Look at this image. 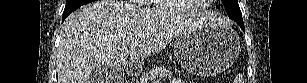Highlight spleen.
<instances>
[{
	"instance_id": "spleen-1",
	"label": "spleen",
	"mask_w": 307,
	"mask_h": 83,
	"mask_svg": "<svg viewBox=\"0 0 307 83\" xmlns=\"http://www.w3.org/2000/svg\"><path fill=\"white\" fill-rule=\"evenodd\" d=\"M234 83H244V79L241 75H238L235 80Z\"/></svg>"
}]
</instances>
